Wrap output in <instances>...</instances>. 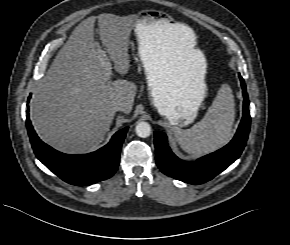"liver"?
<instances>
[{
	"instance_id": "liver-1",
	"label": "liver",
	"mask_w": 290,
	"mask_h": 245,
	"mask_svg": "<svg viewBox=\"0 0 290 245\" xmlns=\"http://www.w3.org/2000/svg\"><path fill=\"white\" fill-rule=\"evenodd\" d=\"M97 19L100 40L115 71L126 74L133 19L111 14H101ZM95 21L96 17H88L73 30L35 87L30 103V119L39 137L65 153L86 152L100 144L115 115L113 102H122L123 112L129 114L137 91L128 80L105 81L103 59L107 55L94 41ZM164 37L187 67L194 53H202L194 49L187 26L168 23Z\"/></svg>"
}]
</instances>
